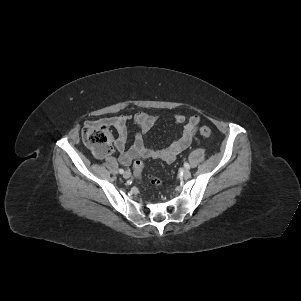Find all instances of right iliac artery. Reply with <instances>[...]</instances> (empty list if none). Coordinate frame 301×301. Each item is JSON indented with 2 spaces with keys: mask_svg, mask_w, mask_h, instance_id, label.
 Instances as JSON below:
<instances>
[{
  "mask_svg": "<svg viewBox=\"0 0 301 301\" xmlns=\"http://www.w3.org/2000/svg\"><path fill=\"white\" fill-rule=\"evenodd\" d=\"M119 173H120V174H123V173H124V170H123L122 168H120V169H119Z\"/></svg>",
  "mask_w": 301,
  "mask_h": 301,
  "instance_id": "1",
  "label": "right iliac artery"
}]
</instances>
